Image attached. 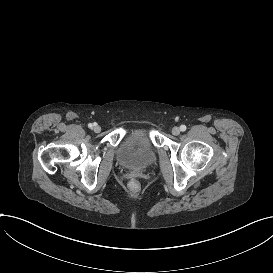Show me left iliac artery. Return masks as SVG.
Listing matches in <instances>:
<instances>
[{
    "label": "left iliac artery",
    "instance_id": "left-iliac-artery-1",
    "mask_svg": "<svg viewBox=\"0 0 273 273\" xmlns=\"http://www.w3.org/2000/svg\"><path fill=\"white\" fill-rule=\"evenodd\" d=\"M180 130H181V131H185V130H186V126H185V125H181V126H180Z\"/></svg>",
    "mask_w": 273,
    "mask_h": 273
}]
</instances>
